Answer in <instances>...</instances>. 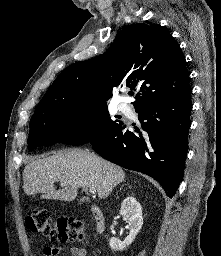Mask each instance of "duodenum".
I'll use <instances>...</instances> for the list:
<instances>
[{
    "label": "duodenum",
    "instance_id": "410a0bca",
    "mask_svg": "<svg viewBox=\"0 0 221 256\" xmlns=\"http://www.w3.org/2000/svg\"><path fill=\"white\" fill-rule=\"evenodd\" d=\"M92 217L95 225V230L98 234L103 233L105 230V218L101 209L94 205L91 207Z\"/></svg>",
    "mask_w": 221,
    "mask_h": 256
}]
</instances>
